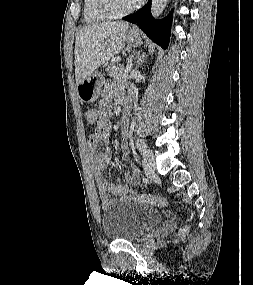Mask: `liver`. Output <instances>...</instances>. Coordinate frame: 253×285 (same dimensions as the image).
<instances>
[{
    "label": "liver",
    "mask_w": 253,
    "mask_h": 285,
    "mask_svg": "<svg viewBox=\"0 0 253 285\" xmlns=\"http://www.w3.org/2000/svg\"><path fill=\"white\" fill-rule=\"evenodd\" d=\"M128 28L126 22H104L78 31L75 41L77 85L124 48Z\"/></svg>",
    "instance_id": "6515ba94"
}]
</instances>
